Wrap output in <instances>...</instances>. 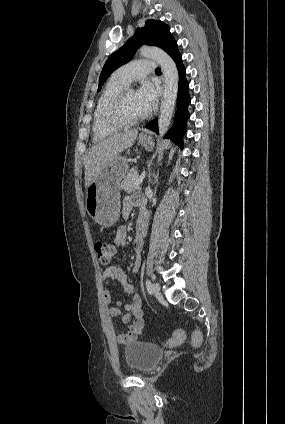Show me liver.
Instances as JSON below:
<instances>
[{
	"label": "liver",
	"instance_id": "6515ba94",
	"mask_svg": "<svg viewBox=\"0 0 285 424\" xmlns=\"http://www.w3.org/2000/svg\"><path fill=\"white\" fill-rule=\"evenodd\" d=\"M137 135V129L115 133L91 147L84 159L85 187L99 175L107 163L130 148L134 144Z\"/></svg>",
	"mask_w": 285,
	"mask_h": 424
}]
</instances>
